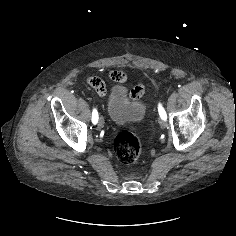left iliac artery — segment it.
<instances>
[{
    "label": "left iliac artery",
    "mask_w": 236,
    "mask_h": 236,
    "mask_svg": "<svg viewBox=\"0 0 236 236\" xmlns=\"http://www.w3.org/2000/svg\"><path fill=\"white\" fill-rule=\"evenodd\" d=\"M158 112H159V115L162 119L166 120L167 119V114H166V111L165 109L162 107V105L159 103L158 105Z\"/></svg>",
    "instance_id": "44dca946"
}]
</instances>
